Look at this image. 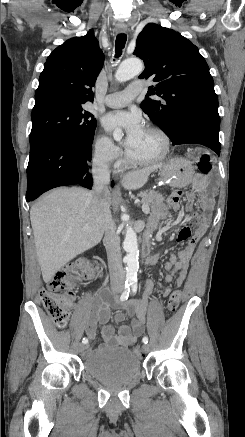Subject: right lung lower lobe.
<instances>
[{
    "instance_id": "right-lung-lower-lobe-1",
    "label": "right lung lower lobe",
    "mask_w": 245,
    "mask_h": 437,
    "mask_svg": "<svg viewBox=\"0 0 245 437\" xmlns=\"http://www.w3.org/2000/svg\"><path fill=\"white\" fill-rule=\"evenodd\" d=\"M91 156L92 142L68 145L55 138L39 141L30 148L26 201L30 202L58 186L80 184L90 189L92 177L88 168Z\"/></svg>"
}]
</instances>
